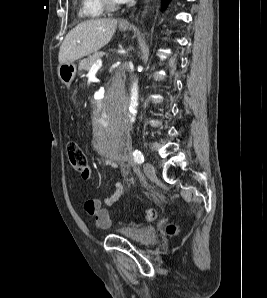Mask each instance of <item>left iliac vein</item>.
Listing matches in <instances>:
<instances>
[{"label":"left iliac vein","mask_w":267,"mask_h":298,"mask_svg":"<svg viewBox=\"0 0 267 298\" xmlns=\"http://www.w3.org/2000/svg\"><path fill=\"white\" fill-rule=\"evenodd\" d=\"M143 169H144V173L148 176V177H154L155 176V169H154V166L149 163V162H146L144 165H143Z\"/></svg>","instance_id":"1"}]
</instances>
